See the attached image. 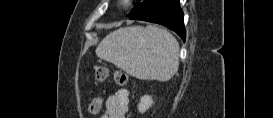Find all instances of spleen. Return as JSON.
<instances>
[{"mask_svg":"<svg viewBox=\"0 0 273 118\" xmlns=\"http://www.w3.org/2000/svg\"><path fill=\"white\" fill-rule=\"evenodd\" d=\"M96 55L142 80L167 81L179 67L176 38L167 30L152 25L113 31L100 42Z\"/></svg>","mask_w":273,"mask_h":118,"instance_id":"1","label":"spleen"}]
</instances>
